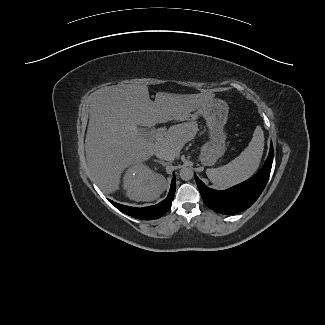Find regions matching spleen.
Returning a JSON list of instances; mask_svg holds the SVG:
<instances>
[{
    "instance_id": "1",
    "label": "spleen",
    "mask_w": 325,
    "mask_h": 325,
    "mask_svg": "<svg viewBox=\"0 0 325 325\" xmlns=\"http://www.w3.org/2000/svg\"><path fill=\"white\" fill-rule=\"evenodd\" d=\"M264 150V133L257 126L249 145L230 163L206 170L212 183L219 187H230L251 177L258 169Z\"/></svg>"
}]
</instances>
